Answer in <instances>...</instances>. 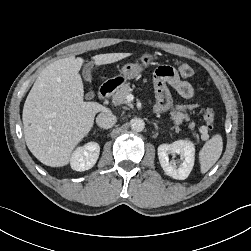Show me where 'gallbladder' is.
I'll list each match as a JSON object with an SVG mask.
<instances>
[{"mask_svg":"<svg viewBox=\"0 0 251 251\" xmlns=\"http://www.w3.org/2000/svg\"><path fill=\"white\" fill-rule=\"evenodd\" d=\"M92 67H93L92 63H86V64H84L83 69H82V76H83L84 80L89 83H91V81H92V75H91ZM94 95H95L94 92L91 91L87 95V98L92 99L94 97Z\"/></svg>","mask_w":251,"mask_h":251,"instance_id":"obj_1","label":"gallbladder"}]
</instances>
